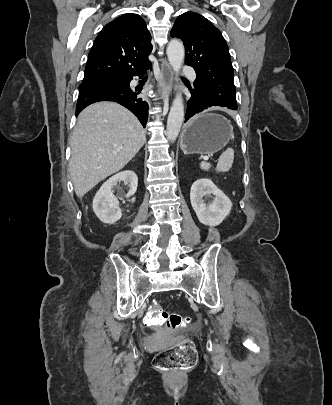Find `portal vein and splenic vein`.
I'll list each match as a JSON object with an SVG mask.
<instances>
[{"mask_svg":"<svg viewBox=\"0 0 332 405\" xmlns=\"http://www.w3.org/2000/svg\"><path fill=\"white\" fill-rule=\"evenodd\" d=\"M209 158L208 157H204V160H208Z\"/></svg>","mask_w":332,"mask_h":405,"instance_id":"18ae733b","label":"portal vein and splenic vein"}]
</instances>
